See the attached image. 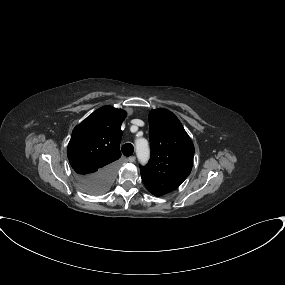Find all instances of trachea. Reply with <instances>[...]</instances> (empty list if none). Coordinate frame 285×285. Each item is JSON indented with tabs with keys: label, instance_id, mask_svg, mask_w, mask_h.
Listing matches in <instances>:
<instances>
[{
	"label": "trachea",
	"instance_id": "3493384b",
	"mask_svg": "<svg viewBox=\"0 0 285 285\" xmlns=\"http://www.w3.org/2000/svg\"><path fill=\"white\" fill-rule=\"evenodd\" d=\"M121 151L125 156H131L134 152V147L131 143H126L122 146Z\"/></svg>",
	"mask_w": 285,
	"mask_h": 285
}]
</instances>
